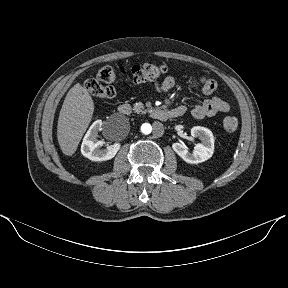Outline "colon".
Here are the masks:
<instances>
[{
  "mask_svg": "<svg viewBox=\"0 0 288 288\" xmlns=\"http://www.w3.org/2000/svg\"><path fill=\"white\" fill-rule=\"evenodd\" d=\"M166 72V67L151 62L133 66L130 69L121 68L118 71L110 66L99 69L96 79H88L84 86L93 96L104 100L115 97L116 89L111 85H103L101 82L111 84L116 81L145 83L160 78ZM238 128V120L234 116H227L223 120V129L227 134L234 133Z\"/></svg>",
  "mask_w": 288,
  "mask_h": 288,
  "instance_id": "5ec220e1",
  "label": "colon"
}]
</instances>
